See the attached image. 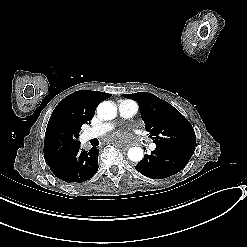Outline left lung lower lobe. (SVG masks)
<instances>
[{
    "label": "left lung lower lobe",
    "mask_w": 247,
    "mask_h": 247,
    "mask_svg": "<svg viewBox=\"0 0 247 247\" xmlns=\"http://www.w3.org/2000/svg\"><path fill=\"white\" fill-rule=\"evenodd\" d=\"M191 156L175 148L156 146V149L150 155H145L135 168L149 178L163 179L180 172Z\"/></svg>",
    "instance_id": "obj_1"
}]
</instances>
